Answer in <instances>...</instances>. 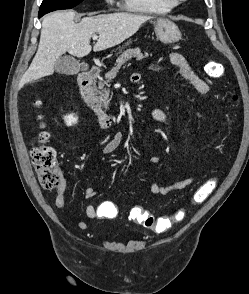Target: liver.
Returning a JSON list of instances; mask_svg holds the SVG:
<instances>
[{
	"instance_id": "1",
	"label": "liver",
	"mask_w": 249,
	"mask_h": 294,
	"mask_svg": "<svg viewBox=\"0 0 249 294\" xmlns=\"http://www.w3.org/2000/svg\"><path fill=\"white\" fill-rule=\"evenodd\" d=\"M75 17L74 11H57L44 17L37 53L23 75L20 87L52 75L57 59L65 52L76 57L87 56L92 50L90 39L93 34H99L93 51H102L122 43L150 19L124 12L85 17L79 23L74 22Z\"/></svg>"
}]
</instances>
